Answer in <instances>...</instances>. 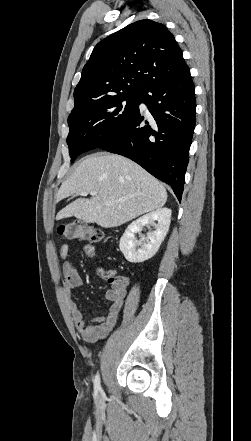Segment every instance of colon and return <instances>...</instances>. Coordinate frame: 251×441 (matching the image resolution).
I'll list each match as a JSON object with an SVG mask.
<instances>
[{"mask_svg":"<svg viewBox=\"0 0 251 441\" xmlns=\"http://www.w3.org/2000/svg\"><path fill=\"white\" fill-rule=\"evenodd\" d=\"M60 235L70 240H84L91 243H98L105 239L103 231L93 228L80 220H74L61 225L58 228ZM106 278L109 283L124 284L127 278L124 276H116L113 272H108Z\"/></svg>","mask_w":251,"mask_h":441,"instance_id":"1","label":"colon"}]
</instances>
